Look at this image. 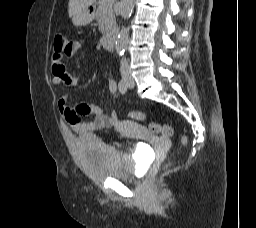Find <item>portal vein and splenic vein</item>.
Returning <instances> with one entry per match:
<instances>
[{"label": "portal vein and splenic vein", "instance_id": "18ae733b", "mask_svg": "<svg viewBox=\"0 0 256 228\" xmlns=\"http://www.w3.org/2000/svg\"><path fill=\"white\" fill-rule=\"evenodd\" d=\"M110 1H112V0H107V2H110Z\"/></svg>", "mask_w": 256, "mask_h": 228}]
</instances>
